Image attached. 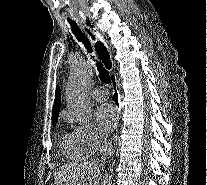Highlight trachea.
Masks as SVG:
<instances>
[{
  "instance_id": "1",
  "label": "trachea",
  "mask_w": 207,
  "mask_h": 185,
  "mask_svg": "<svg viewBox=\"0 0 207 185\" xmlns=\"http://www.w3.org/2000/svg\"><path fill=\"white\" fill-rule=\"evenodd\" d=\"M68 22L70 23L71 30L74 33V35L76 36V38L85 45L88 52H91L92 49H91L90 43L88 42L87 38L80 32V30L77 27L76 23L73 22V20H70V19H68ZM88 32L91 35V37L94 39L95 38L94 35H92L89 30H88ZM95 48H96V51L98 53L99 58L104 63V55H106V53H107L106 47H104L103 43L96 42ZM96 66H97V69L99 71L100 80L104 83H110L111 79H110L109 72L99 62H97Z\"/></svg>"
}]
</instances>
